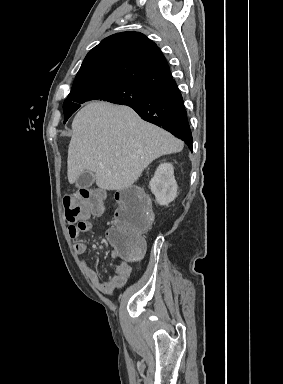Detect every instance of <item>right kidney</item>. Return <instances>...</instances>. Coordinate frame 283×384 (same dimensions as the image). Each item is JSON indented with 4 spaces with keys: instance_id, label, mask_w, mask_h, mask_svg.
I'll use <instances>...</instances> for the list:
<instances>
[{
    "instance_id": "1",
    "label": "right kidney",
    "mask_w": 283,
    "mask_h": 384,
    "mask_svg": "<svg viewBox=\"0 0 283 384\" xmlns=\"http://www.w3.org/2000/svg\"><path fill=\"white\" fill-rule=\"evenodd\" d=\"M150 190L160 206H168L177 196L172 164H160L149 182Z\"/></svg>"
}]
</instances>
